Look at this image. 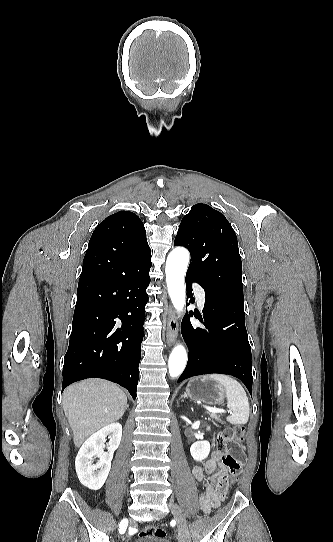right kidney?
Listing matches in <instances>:
<instances>
[{
	"label": "right kidney",
	"instance_id": "right-kidney-1",
	"mask_svg": "<svg viewBox=\"0 0 333 542\" xmlns=\"http://www.w3.org/2000/svg\"><path fill=\"white\" fill-rule=\"evenodd\" d=\"M108 452H103L105 438ZM122 438L121 424H109L92 434L81 446L75 460L76 474L83 486L89 490H100L104 486L111 470V462ZM94 458H99L97 464H92Z\"/></svg>",
	"mask_w": 333,
	"mask_h": 542
}]
</instances>
